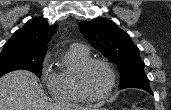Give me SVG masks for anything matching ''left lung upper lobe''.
<instances>
[{"mask_svg":"<svg viewBox=\"0 0 171 110\" xmlns=\"http://www.w3.org/2000/svg\"><path fill=\"white\" fill-rule=\"evenodd\" d=\"M78 27L86 40L119 68V89L133 87L150 90L139 49L126 32L106 19L82 21Z\"/></svg>","mask_w":171,"mask_h":110,"instance_id":"1","label":"left lung upper lobe"}]
</instances>
